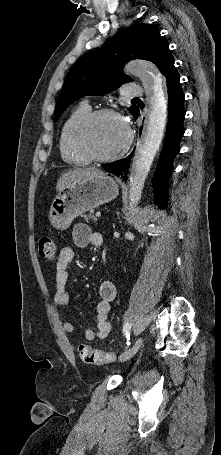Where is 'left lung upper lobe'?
Returning a JSON list of instances; mask_svg holds the SVG:
<instances>
[{
  "mask_svg": "<svg viewBox=\"0 0 221 455\" xmlns=\"http://www.w3.org/2000/svg\"><path fill=\"white\" fill-rule=\"evenodd\" d=\"M133 59L153 62L162 74L174 64L168 43L157 27L134 25L104 47L87 52L74 63L56 104L55 121L77 99L86 95L106 94L130 82V77L123 73L122 67ZM128 110L134 115L138 107L131 106Z\"/></svg>",
  "mask_w": 221,
  "mask_h": 455,
  "instance_id": "left-lung-upper-lobe-1",
  "label": "left lung upper lobe"
}]
</instances>
